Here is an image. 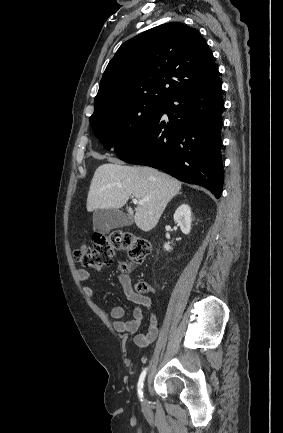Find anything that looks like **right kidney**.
Here are the masks:
<instances>
[{
  "label": "right kidney",
  "mask_w": 283,
  "mask_h": 433,
  "mask_svg": "<svg viewBox=\"0 0 283 433\" xmlns=\"http://www.w3.org/2000/svg\"><path fill=\"white\" fill-rule=\"evenodd\" d=\"M174 221L184 234H189L191 230V209L187 204L180 205L174 213ZM164 248L169 251L171 247L165 244Z\"/></svg>",
  "instance_id": "right-kidney-1"
}]
</instances>
